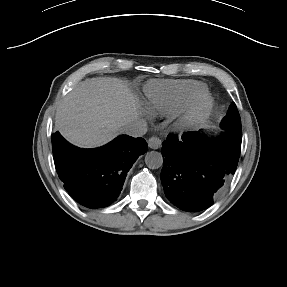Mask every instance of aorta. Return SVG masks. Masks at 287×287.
<instances>
[{
    "label": "aorta",
    "instance_id": "762f6f07",
    "mask_svg": "<svg viewBox=\"0 0 287 287\" xmlns=\"http://www.w3.org/2000/svg\"><path fill=\"white\" fill-rule=\"evenodd\" d=\"M145 164L150 169H158L163 164V157L160 152L150 151L145 156Z\"/></svg>",
    "mask_w": 287,
    "mask_h": 287
}]
</instances>
